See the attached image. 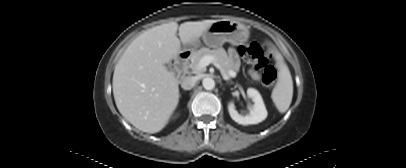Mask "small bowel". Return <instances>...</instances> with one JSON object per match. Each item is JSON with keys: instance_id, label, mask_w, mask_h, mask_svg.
Returning a JSON list of instances; mask_svg holds the SVG:
<instances>
[{"instance_id": "1", "label": "small bowel", "mask_w": 406, "mask_h": 168, "mask_svg": "<svg viewBox=\"0 0 406 168\" xmlns=\"http://www.w3.org/2000/svg\"><path fill=\"white\" fill-rule=\"evenodd\" d=\"M228 57L231 61V63L233 64V66L237 65V61H238V54L237 51L234 48H230L228 50ZM251 75L254 79H258V74L256 72H251Z\"/></svg>"}]
</instances>
